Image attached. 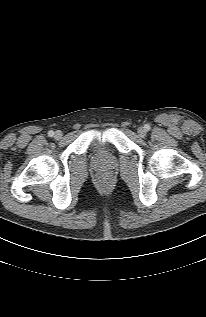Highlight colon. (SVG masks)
I'll use <instances>...</instances> for the list:
<instances>
[{
  "label": "colon",
  "mask_w": 206,
  "mask_h": 317,
  "mask_svg": "<svg viewBox=\"0 0 206 317\" xmlns=\"http://www.w3.org/2000/svg\"><path fill=\"white\" fill-rule=\"evenodd\" d=\"M101 183H102V184H107V180H106V179H103V180L101 181Z\"/></svg>",
  "instance_id": "colon-1"
}]
</instances>
